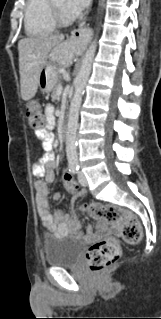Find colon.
<instances>
[{"mask_svg":"<svg viewBox=\"0 0 161 319\" xmlns=\"http://www.w3.org/2000/svg\"><path fill=\"white\" fill-rule=\"evenodd\" d=\"M26 115L34 129L43 131L45 121L42 108L38 103H29L26 106ZM45 148L51 149L52 146L51 144H46ZM70 188H74V186L70 184ZM84 209L88 216L94 220H105L119 225L122 239L125 243L135 244L141 240L142 232L138 219L134 215L124 212L120 206L113 204H86ZM120 257L121 248L114 237L92 244L85 254L88 268L96 275H100L106 269L116 265Z\"/></svg>","mask_w":161,"mask_h":319,"instance_id":"1","label":"colon"}]
</instances>
